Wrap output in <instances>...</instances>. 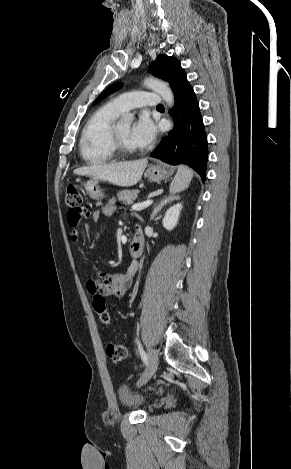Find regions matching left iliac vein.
I'll list each match as a JSON object with an SVG mask.
<instances>
[{
	"instance_id": "4c4485c4",
	"label": "left iliac vein",
	"mask_w": 291,
	"mask_h": 469,
	"mask_svg": "<svg viewBox=\"0 0 291 469\" xmlns=\"http://www.w3.org/2000/svg\"><path fill=\"white\" fill-rule=\"evenodd\" d=\"M157 367H158V355L153 349L149 348L147 370L138 381V385L145 384L154 375V373L157 370Z\"/></svg>"
}]
</instances>
